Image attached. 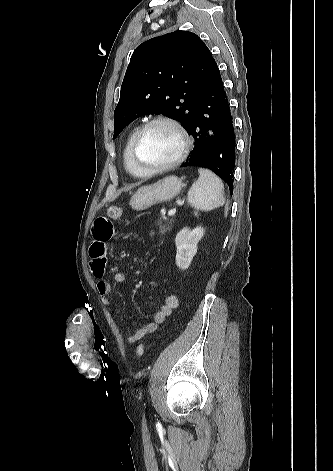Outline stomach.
Listing matches in <instances>:
<instances>
[{
  "label": "stomach",
  "mask_w": 333,
  "mask_h": 471,
  "mask_svg": "<svg viewBox=\"0 0 333 471\" xmlns=\"http://www.w3.org/2000/svg\"><path fill=\"white\" fill-rule=\"evenodd\" d=\"M182 187L180 178L167 176L152 185L140 187L131 196L129 204L133 210H146L155 204L172 200L180 193Z\"/></svg>",
  "instance_id": "1"
}]
</instances>
